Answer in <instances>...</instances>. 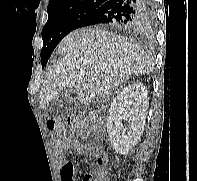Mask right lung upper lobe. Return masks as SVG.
<instances>
[{
    "label": "right lung upper lobe",
    "mask_w": 197,
    "mask_h": 181,
    "mask_svg": "<svg viewBox=\"0 0 197 181\" xmlns=\"http://www.w3.org/2000/svg\"><path fill=\"white\" fill-rule=\"evenodd\" d=\"M107 0H50L47 8L48 14L65 11L86 4H100Z\"/></svg>",
    "instance_id": "obj_1"
}]
</instances>
